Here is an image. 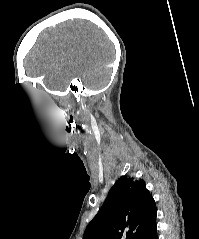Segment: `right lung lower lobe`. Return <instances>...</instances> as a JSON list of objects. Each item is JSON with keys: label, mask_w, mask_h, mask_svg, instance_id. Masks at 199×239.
<instances>
[{"label": "right lung lower lobe", "mask_w": 199, "mask_h": 239, "mask_svg": "<svg viewBox=\"0 0 199 239\" xmlns=\"http://www.w3.org/2000/svg\"><path fill=\"white\" fill-rule=\"evenodd\" d=\"M156 218L152 220L146 227L139 233L136 239H158Z\"/></svg>", "instance_id": "obj_1"}]
</instances>
